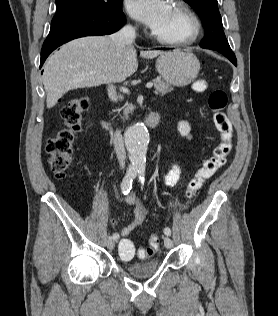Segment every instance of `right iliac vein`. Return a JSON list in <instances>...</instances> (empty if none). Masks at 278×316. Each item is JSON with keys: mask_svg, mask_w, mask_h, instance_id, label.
Masks as SVG:
<instances>
[{"mask_svg": "<svg viewBox=\"0 0 278 316\" xmlns=\"http://www.w3.org/2000/svg\"><path fill=\"white\" fill-rule=\"evenodd\" d=\"M106 244H107V248L112 250L115 247V240L112 237H108Z\"/></svg>", "mask_w": 278, "mask_h": 316, "instance_id": "63e3f726", "label": "right iliac vein"}]
</instances>
